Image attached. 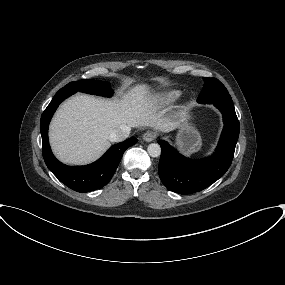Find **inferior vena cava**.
Wrapping results in <instances>:
<instances>
[{
  "mask_svg": "<svg viewBox=\"0 0 285 285\" xmlns=\"http://www.w3.org/2000/svg\"><path fill=\"white\" fill-rule=\"evenodd\" d=\"M131 128L127 125H121L119 128L113 130L110 134L112 142H121L125 140L130 134Z\"/></svg>",
  "mask_w": 285,
  "mask_h": 285,
  "instance_id": "inferior-vena-cava-1",
  "label": "inferior vena cava"
}]
</instances>
